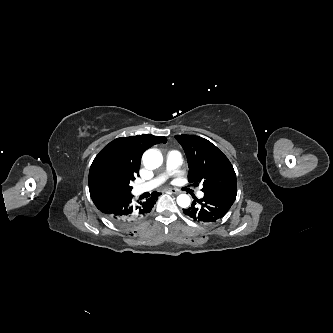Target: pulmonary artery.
Masks as SVG:
<instances>
[{"label":"pulmonary artery","instance_id":"e3ab8cb5","mask_svg":"<svg viewBox=\"0 0 333 333\" xmlns=\"http://www.w3.org/2000/svg\"><path fill=\"white\" fill-rule=\"evenodd\" d=\"M182 163V155L178 150H171L166 154V165L163 173L153 178L150 181L138 184L134 187V194L140 195L144 192L151 191L152 189L161 185L167 177L176 170ZM197 196L202 198L204 193L198 191Z\"/></svg>","mask_w":333,"mask_h":333}]
</instances>
